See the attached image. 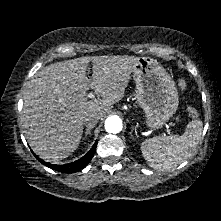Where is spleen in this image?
<instances>
[{
	"mask_svg": "<svg viewBox=\"0 0 221 221\" xmlns=\"http://www.w3.org/2000/svg\"><path fill=\"white\" fill-rule=\"evenodd\" d=\"M203 123L200 120L189 122L183 135L154 137L141 145L142 155L150 167L167 171L184 162L198 145Z\"/></svg>",
	"mask_w": 221,
	"mask_h": 221,
	"instance_id": "3e777b00",
	"label": "spleen"
}]
</instances>
